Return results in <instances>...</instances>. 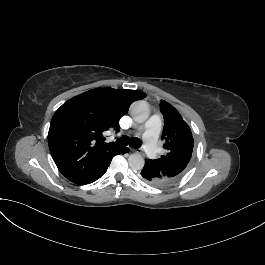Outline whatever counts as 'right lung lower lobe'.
<instances>
[{"label":"right lung lower lobe","instance_id":"right-lung-lower-lobe-1","mask_svg":"<svg viewBox=\"0 0 265 265\" xmlns=\"http://www.w3.org/2000/svg\"><path fill=\"white\" fill-rule=\"evenodd\" d=\"M128 152V148H126V147H124L120 152H119V154H125V153H127ZM110 165V164H109ZM108 168V167H107ZM107 168L105 169V171L102 173V175L101 176H103L104 174H105V172L107 171ZM100 176V177H101ZM99 177V178H100ZM98 178V179H99Z\"/></svg>","mask_w":265,"mask_h":265}]
</instances>
